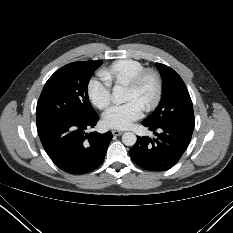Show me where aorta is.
Listing matches in <instances>:
<instances>
[{"instance_id": "1", "label": "aorta", "mask_w": 233, "mask_h": 233, "mask_svg": "<svg viewBox=\"0 0 233 233\" xmlns=\"http://www.w3.org/2000/svg\"><path fill=\"white\" fill-rule=\"evenodd\" d=\"M124 93V89L121 86H117L115 85L113 87V95L118 98L121 99ZM137 141V137L133 132H125L122 135V142L126 145V146H133Z\"/></svg>"}]
</instances>
